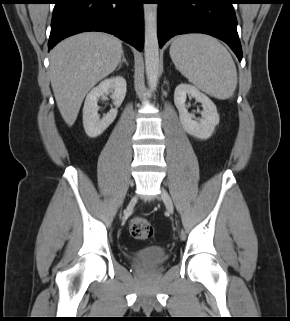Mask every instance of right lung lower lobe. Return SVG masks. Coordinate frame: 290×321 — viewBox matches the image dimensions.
Segmentation results:
<instances>
[{
  "label": "right lung lower lobe",
  "instance_id": "right-lung-lower-lobe-1",
  "mask_svg": "<svg viewBox=\"0 0 290 321\" xmlns=\"http://www.w3.org/2000/svg\"><path fill=\"white\" fill-rule=\"evenodd\" d=\"M146 0H55L48 47L85 31L113 34L143 49L142 4Z\"/></svg>",
  "mask_w": 290,
  "mask_h": 321
}]
</instances>
